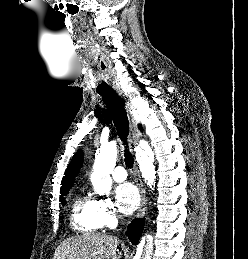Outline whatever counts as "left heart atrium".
<instances>
[{"mask_svg": "<svg viewBox=\"0 0 248 259\" xmlns=\"http://www.w3.org/2000/svg\"><path fill=\"white\" fill-rule=\"evenodd\" d=\"M115 197L120 210L125 214H131L139 204V193L131 183H123L116 187Z\"/></svg>", "mask_w": 248, "mask_h": 259, "instance_id": "39dd6f15", "label": "left heart atrium"}]
</instances>
